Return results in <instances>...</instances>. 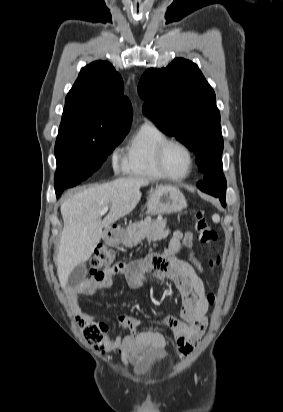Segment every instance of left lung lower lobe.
<instances>
[{
    "label": "left lung lower lobe",
    "instance_id": "0a47b994",
    "mask_svg": "<svg viewBox=\"0 0 283 412\" xmlns=\"http://www.w3.org/2000/svg\"><path fill=\"white\" fill-rule=\"evenodd\" d=\"M204 174V173H203ZM225 177L223 175L222 171V158L219 157L218 159L215 160V166L214 170H210V173L204 174L203 180L198 183V188L210 194L209 186L212 182H223L225 181ZM211 195V194H210ZM213 196V195H212ZM220 199L221 204L225 207L226 206V201H225V196L219 197V196H214Z\"/></svg>",
    "mask_w": 283,
    "mask_h": 412
}]
</instances>
